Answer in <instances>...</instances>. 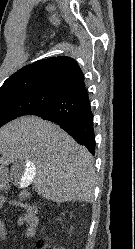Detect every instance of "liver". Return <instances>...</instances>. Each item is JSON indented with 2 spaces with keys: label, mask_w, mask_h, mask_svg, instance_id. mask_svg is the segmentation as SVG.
Wrapping results in <instances>:
<instances>
[{
  "label": "liver",
  "mask_w": 135,
  "mask_h": 249,
  "mask_svg": "<svg viewBox=\"0 0 135 249\" xmlns=\"http://www.w3.org/2000/svg\"><path fill=\"white\" fill-rule=\"evenodd\" d=\"M35 166L31 182L38 195L57 203L93 202L96 184L92 154L58 125L37 116H22L0 128V171L14 162Z\"/></svg>",
  "instance_id": "6515ba94"
}]
</instances>
